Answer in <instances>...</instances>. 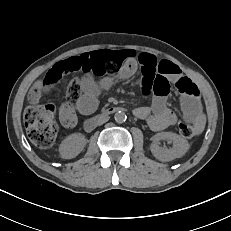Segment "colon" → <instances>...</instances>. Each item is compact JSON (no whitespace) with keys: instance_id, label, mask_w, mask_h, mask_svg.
<instances>
[{"instance_id":"colon-1","label":"colon","mask_w":231,"mask_h":231,"mask_svg":"<svg viewBox=\"0 0 231 231\" xmlns=\"http://www.w3.org/2000/svg\"><path fill=\"white\" fill-rule=\"evenodd\" d=\"M60 80L61 78L49 79L44 77L35 83L28 93L29 105L24 112V124L30 140L40 148L50 147L57 134L55 106L50 103H41L40 100ZM172 85L182 95L196 97L199 94L197 86L184 75L176 79ZM155 87L157 94L166 96L171 85L163 79L157 78ZM178 131L185 138H192L197 134L196 127L184 121L178 123Z\"/></svg>"}]
</instances>
